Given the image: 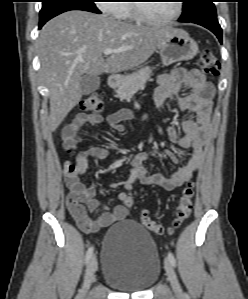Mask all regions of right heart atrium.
<instances>
[{
  "instance_id": "d8ad5b80",
  "label": "right heart atrium",
  "mask_w": 248,
  "mask_h": 299,
  "mask_svg": "<svg viewBox=\"0 0 248 299\" xmlns=\"http://www.w3.org/2000/svg\"><path fill=\"white\" fill-rule=\"evenodd\" d=\"M98 2L99 9L104 13L120 15L123 12L118 0H99Z\"/></svg>"
}]
</instances>
